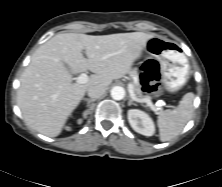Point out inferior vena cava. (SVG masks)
<instances>
[{"mask_svg":"<svg viewBox=\"0 0 222 187\" xmlns=\"http://www.w3.org/2000/svg\"><path fill=\"white\" fill-rule=\"evenodd\" d=\"M106 91V88L100 85L92 86L87 90L88 96L90 98L96 99L100 98Z\"/></svg>","mask_w":222,"mask_h":187,"instance_id":"inferior-vena-cava-1","label":"inferior vena cava"}]
</instances>
